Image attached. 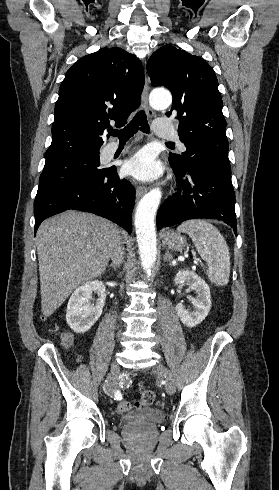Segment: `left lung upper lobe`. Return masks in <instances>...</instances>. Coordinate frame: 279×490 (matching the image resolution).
Here are the masks:
<instances>
[{
  "label": "left lung upper lobe",
  "instance_id": "left-lung-upper-lobe-1",
  "mask_svg": "<svg viewBox=\"0 0 279 490\" xmlns=\"http://www.w3.org/2000/svg\"><path fill=\"white\" fill-rule=\"evenodd\" d=\"M154 87L165 86L173 95L170 112L179 121V137L186 151L169 157L171 164L184 169L188 163L210 160L230 168L226 121L222 97L214 70L200 57L165 45L147 63Z\"/></svg>",
  "mask_w": 279,
  "mask_h": 490
}]
</instances>
